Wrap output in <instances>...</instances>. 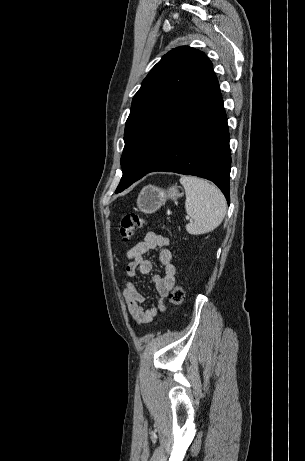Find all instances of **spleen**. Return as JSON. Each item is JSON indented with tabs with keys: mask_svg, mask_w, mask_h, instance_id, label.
Segmentation results:
<instances>
[{
	"mask_svg": "<svg viewBox=\"0 0 305 461\" xmlns=\"http://www.w3.org/2000/svg\"><path fill=\"white\" fill-rule=\"evenodd\" d=\"M180 183L185 189V209L192 218L186 225L189 234L199 235L212 232L226 214V200L222 192L208 181L182 176Z\"/></svg>",
	"mask_w": 305,
	"mask_h": 461,
	"instance_id": "obj_1",
	"label": "spleen"
}]
</instances>
